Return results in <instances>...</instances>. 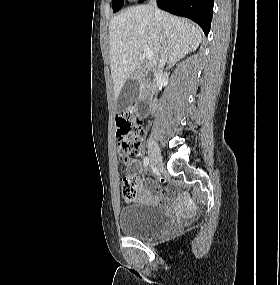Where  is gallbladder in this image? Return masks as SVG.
I'll use <instances>...</instances> for the list:
<instances>
[{
  "label": "gallbladder",
  "instance_id": "obj_1",
  "mask_svg": "<svg viewBox=\"0 0 280 285\" xmlns=\"http://www.w3.org/2000/svg\"><path fill=\"white\" fill-rule=\"evenodd\" d=\"M139 91L140 80L138 78H129L116 100V111L122 113L128 109L136 101Z\"/></svg>",
  "mask_w": 280,
  "mask_h": 285
}]
</instances>
